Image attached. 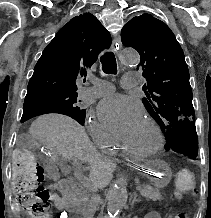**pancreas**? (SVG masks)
Masks as SVG:
<instances>
[{
	"mask_svg": "<svg viewBox=\"0 0 211 218\" xmlns=\"http://www.w3.org/2000/svg\"><path fill=\"white\" fill-rule=\"evenodd\" d=\"M141 194L145 196V198H149V200H162V196L159 190H154L152 186H141ZM70 200H68V205H81L83 208L87 206L88 196L87 194H82L81 190H70Z\"/></svg>",
	"mask_w": 211,
	"mask_h": 218,
	"instance_id": "1",
	"label": "pancreas"
}]
</instances>
